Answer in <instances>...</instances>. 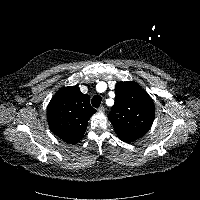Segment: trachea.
<instances>
[{"instance_id": "1", "label": "trachea", "mask_w": 200, "mask_h": 200, "mask_svg": "<svg viewBox=\"0 0 200 200\" xmlns=\"http://www.w3.org/2000/svg\"><path fill=\"white\" fill-rule=\"evenodd\" d=\"M101 101H102V98L100 96H98V95L94 96L91 99L92 106L95 108H98L101 104Z\"/></svg>"}]
</instances>
